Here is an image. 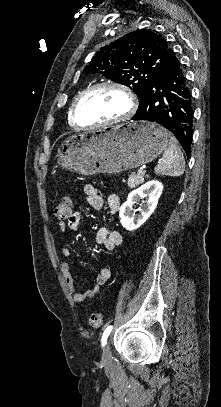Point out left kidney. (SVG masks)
<instances>
[{"mask_svg":"<svg viewBox=\"0 0 221 407\" xmlns=\"http://www.w3.org/2000/svg\"><path fill=\"white\" fill-rule=\"evenodd\" d=\"M162 190V183L152 180L130 192L127 201L119 209L121 225L129 231L139 228L154 212ZM146 197H148L147 201L140 204L141 207L138 209L140 214L136 215V210L133 209L134 204H137L141 199Z\"/></svg>","mask_w":221,"mask_h":407,"instance_id":"obj_1","label":"left kidney"}]
</instances>
